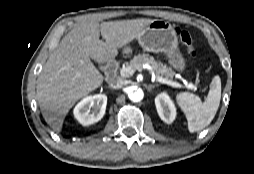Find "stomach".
<instances>
[{"mask_svg": "<svg viewBox=\"0 0 254 174\" xmlns=\"http://www.w3.org/2000/svg\"><path fill=\"white\" fill-rule=\"evenodd\" d=\"M143 50L154 53H164L168 63L177 71L183 72L186 67V59L178 49L177 35L173 26L163 20H154L138 38ZM124 54L131 52L130 47L122 48Z\"/></svg>", "mask_w": 254, "mask_h": 174, "instance_id": "stomach-1", "label": "stomach"}]
</instances>
